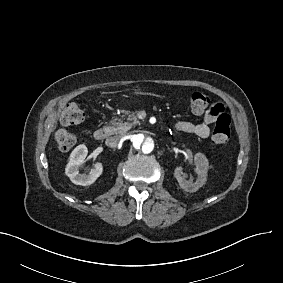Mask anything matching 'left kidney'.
Segmentation results:
<instances>
[{"mask_svg": "<svg viewBox=\"0 0 283 283\" xmlns=\"http://www.w3.org/2000/svg\"><path fill=\"white\" fill-rule=\"evenodd\" d=\"M194 164L197 167L196 174L198 176L194 182L187 181V175L183 173L182 166H177L174 170V177L177 179L180 187L190 193L198 191V189L203 186L207 180V170L209 168L207 158L201 153L195 155Z\"/></svg>", "mask_w": 283, "mask_h": 283, "instance_id": "1", "label": "left kidney"}]
</instances>
